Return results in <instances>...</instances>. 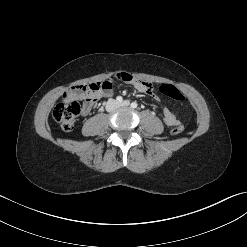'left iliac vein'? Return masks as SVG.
<instances>
[{"instance_id":"4c4485c4","label":"left iliac vein","mask_w":247,"mask_h":247,"mask_svg":"<svg viewBox=\"0 0 247 247\" xmlns=\"http://www.w3.org/2000/svg\"><path fill=\"white\" fill-rule=\"evenodd\" d=\"M119 106H129V101L125 100L122 103L118 104Z\"/></svg>"}]
</instances>
